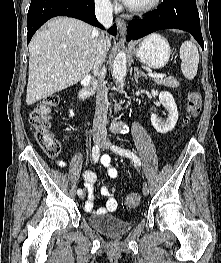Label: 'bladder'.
Returning a JSON list of instances; mask_svg holds the SVG:
<instances>
[{
	"label": "bladder",
	"instance_id": "bladder-1",
	"mask_svg": "<svg viewBox=\"0 0 221 263\" xmlns=\"http://www.w3.org/2000/svg\"><path fill=\"white\" fill-rule=\"evenodd\" d=\"M89 226L109 237H118L131 231L134 227L133 220H124L115 215H92L88 218Z\"/></svg>",
	"mask_w": 221,
	"mask_h": 263
}]
</instances>
